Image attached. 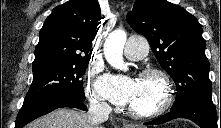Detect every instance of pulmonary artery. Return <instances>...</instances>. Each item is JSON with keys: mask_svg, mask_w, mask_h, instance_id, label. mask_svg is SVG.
Returning <instances> with one entry per match:
<instances>
[{"mask_svg": "<svg viewBox=\"0 0 221 128\" xmlns=\"http://www.w3.org/2000/svg\"><path fill=\"white\" fill-rule=\"evenodd\" d=\"M148 42L140 36H131L125 45L124 55L129 60H136L146 55Z\"/></svg>", "mask_w": 221, "mask_h": 128, "instance_id": "obj_1", "label": "pulmonary artery"}]
</instances>
